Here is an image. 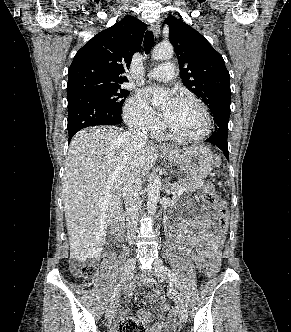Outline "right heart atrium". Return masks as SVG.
Listing matches in <instances>:
<instances>
[{"mask_svg":"<svg viewBox=\"0 0 291 332\" xmlns=\"http://www.w3.org/2000/svg\"><path fill=\"white\" fill-rule=\"evenodd\" d=\"M124 118L129 126L146 133H153L160 128L159 120L138 95H133L127 100Z\"/></svg>","mask_w":291,"mask_h":332,"instance_id":"d8ad5b80","label":"right heart atrium"}]
</instances>
